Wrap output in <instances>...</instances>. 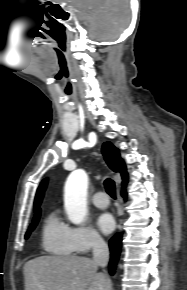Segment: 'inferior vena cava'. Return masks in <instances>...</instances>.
Segmentation results:
<instances>
[{
    "label": "inferior vena cava",
    "mask_w": 187,
    "mask_h": 290,
    "mask_svg": "<svg viewBox=\"0 0 187 290\" xmlns=\"http://www.w3.org/2000/svg\"><path fill=\"white\" fill-rule=\"evenodd\" d=\"M93 261L96 265L105 267L109 260V250L105 241L100 236H95L92 242Z\"/></svg>",
    "instance_id": "inferior-vena-cava-1"
}]
</instances>
